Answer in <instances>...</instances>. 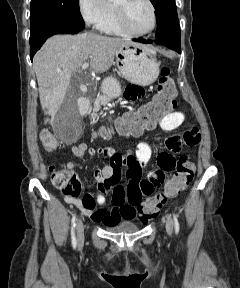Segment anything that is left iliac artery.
<instances>
[{
  "instance_id": "obj_1",
  "label": "left iliac artery",
  "mask_w": 240,
  "mask_h": 288,
  "mask_svg": "<svg viewBox=\"0 0 240 288\" xmlns=\"http://www.w3.org/2000/svg\"><path fill=\"white\" fill-rule=\"evenodd\" d=\"M173 219H174L175 233L177 234L179 232V222L177 219V215L174 213H173Z\"/></svg>"
}]
</instances>
